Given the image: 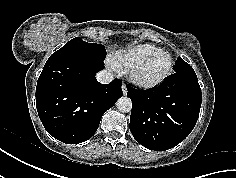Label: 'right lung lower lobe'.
<instances>
[{"mask_svg": "<svg viewBox=\"0 0 236 178\" xmlns=\"http://www.w3.org/2000/svg\"><path fill=\"white\" fill-rule=\"evenodd\" d=\"M104 58L89 52L51 55L38 78L36 107L47 132L66 144L81 143L97 131L104 112L122 96L119 79L99 83Z\"/></svg>", "mask_w": 236, "mask_h": 178, "instance_id": "right-lung-lower-lobe-1", "label": "right lung lower lobe"}]
</instances>
